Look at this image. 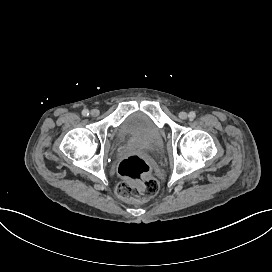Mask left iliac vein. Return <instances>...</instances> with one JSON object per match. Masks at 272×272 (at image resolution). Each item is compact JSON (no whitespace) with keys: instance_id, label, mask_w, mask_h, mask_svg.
I'll return each mask as SVG.
<instances>
[{"instance_id":"1","label":"left iliac vein","mask_w":272,"mask_h":272,"mask_svg":"<svg viewBox=\"0 0 272 272\" xmlns=\"http://www.w3.org/2000/svg\"><path fill=\"white\" fill-rule=\"evenodd\" d=\"M187 117H188V114L186 112L182 111L179 113L180 119L185 120V119H187Z\"/></svg>"}]
</instances>
